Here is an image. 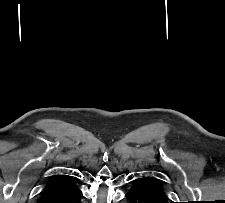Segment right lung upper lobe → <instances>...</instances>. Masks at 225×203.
Returning a JSON list of instances; mask_svg holds the SVG:
<instances>
[{
  "mask_svg": "<svg viewBox=\"0 0 225 203\" xmlns=\"http://www.w3.org/2000/svg\"><path fill=\"white\" fill-rule=\"evenodd\" d=\"M56 178L46 187V195L64 196L72 195L79 191L77 183L79 179L72 175H57Z\"/></svg>",
  "mask_w": 225,
  "mask_h": 203,
  "instance_id": "cb5924a9",
  "label": "right lung upper lobe"
}]
</instances>
